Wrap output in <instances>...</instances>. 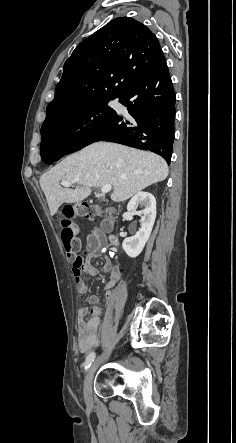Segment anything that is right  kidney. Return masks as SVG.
I'll return each instance as SVG.
<instances>
[{"instance_id":"1","label":"right kidney","mask_w":236,"mask_h":443,"mask_svg":"<svg viewBox=\"0 0 236 443\" xmlns=\"http://www.w3.org/2000/svg\"><path fill=\"white\" fill-rule=\"evenodd\" d=\"M140 206L144 209L141 211V228L132 237L125 238L122 248L125 253L131 257H137L143 250L148 241L155 219H156V200L149 192H139L129 201L127 211L136 214V208Z\"/></svg>"}]
</instances>
